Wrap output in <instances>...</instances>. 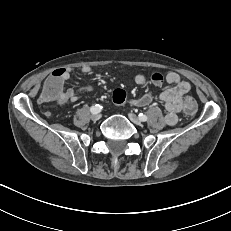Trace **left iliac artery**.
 Masks as SVG:
<instances>
[{"label": "left iliac artery", "instance_id": "1", "mask_svg": "<svg viewBox=\"0 0 231 231\" xmlns=\"http://www.w3.org/2000/svg\"><path fill=\"white\" fill-rule=\"evenodd\" d=\"M139 118H140V120L143 121V122L147 121V116L144 115V114H142V113L139 114Z\"/></svg>", "mask_w": 231, "mask_h": 231}]
</instances>
